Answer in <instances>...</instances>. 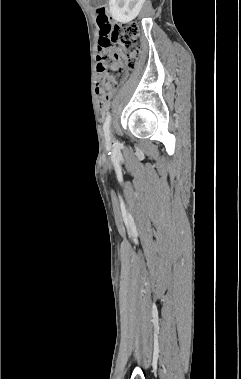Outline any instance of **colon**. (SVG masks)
Masks as SVG:
<instances>
[{
  "label": "colon",
  "mask_w": 241,
  "mask_h": 379,
  "mask_svg": "<svg viewBox=\"0 0 241 379\" xmlns=\"http://www.w3.org/2000/svg\"><path fill=\"white\" fill-rule=\"evenodd\" d=\"M96 12L97 23L103 33L97 56L96 93L100 102L106 104L125 69L134 67L141 42L136 23L111 25L107 6L98 7Z\"/></svg>",
  "instance_id": "5ec220e1"
}]
</instances>
